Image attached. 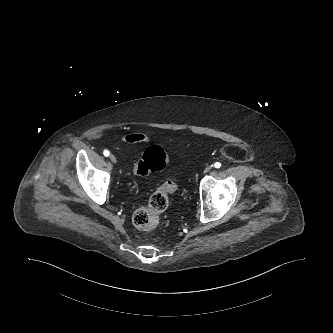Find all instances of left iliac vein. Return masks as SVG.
<instances>
[{"label":"left iliac vein","mask_w":333,"mask_h":333,"mask_svg":"<svg viewBox=\"0 0 333 333\" xmlns=\"http://www.w3.org/2000/svg\"><path fill=\"white\" fill-rule=\"evenodd\" d=\"M212 169V166H206L204 169V173H208Z\"/></svg>","instance_id":"obj_1"}]
</instances>
